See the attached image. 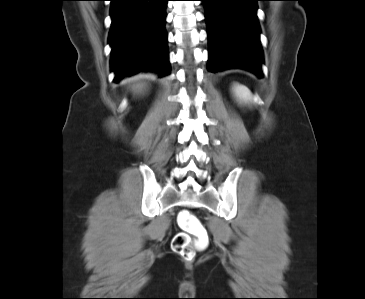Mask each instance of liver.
Returning a JSON list of instances; mask_svg holds the SVG:
<instances>
[{
    "mask_svg": "<svg viewBox=\"0 0 365 299\" xmlns=\"http://www.w3.org/2000/svg\"><path fill=\"white\" fill-rule=\"evenodd\" d=\"M139 78L136 79V83L132 85V91L135 93H141L143 89L146 87L145 83L138 82Z\"/></svg>",
    "mask_w": 365,
    "mask_h": 299,
    "instance_id": "1",
    "label": "liver"
}]
</instances>
